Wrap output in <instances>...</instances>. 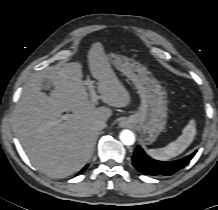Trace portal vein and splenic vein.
Returning a JSON list of instances; mask_svg holds the SVG:
<instances>
[{
  "label": "portal vein and splenic vein",
  "instance_id": "portal-vein-and-splenic-vein-1",
  "mask_svg": "<svg viewBox=\"0 0 218 210\" xmlns=\"http://www.w3.org/2000/svg\"><path fill=\"white\" fill-rule=\"evenodd\" d=\"M87 85L89 87L90 94H91V102L95 103L97 101V99L99 98V96L96 94V92L94 90L93 81L87 82ZM71 117H72V114H64V115L61 116V119L62 120H68Z\"/></svg>",
  "mask_w": 218,
  "mask_h": 210
}]
</instances>
